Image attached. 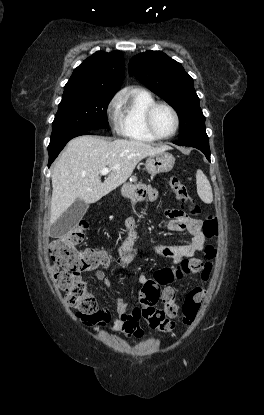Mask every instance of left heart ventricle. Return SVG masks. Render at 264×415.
<instances>
[{"label":"left heart ventricle","instance_id":"obj_1","mask_svg":"<svg viewBox=\"0 0 264 415\" xmlns=\"http://www.w3.org/2000/svg\"><path fill=\"white\" fill-rule=\"evenodd\" d=\"M154 128L159 135L170 134L175 126V119L172 112L166 107H158L153 115Z\"/></svg>","mask_w":264,"mask_h":415}]
</instances>
